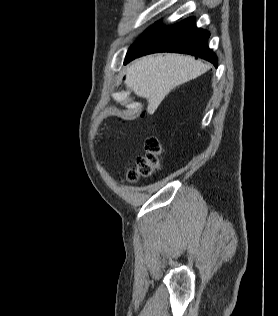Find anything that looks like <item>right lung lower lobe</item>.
<instances>
[{"mask_svg": "<svg viewBox=\"0 0 278 316\" xmlns=\"http://www.w3.org/2000/svg\"><path fill=\"white\" fill-rule=\"evenodd\" d=\"M209 36L208 31L196 27L193 17L172 26L157 22L128 50L124 63L150 53L176 52L198 56L217 67V57L207 46Z\"/></svg>", "mask_w": 278, "mask_h": 316, "instance_id": "98d812e1", "label": "right lung lower lobe"}]
</instances>
